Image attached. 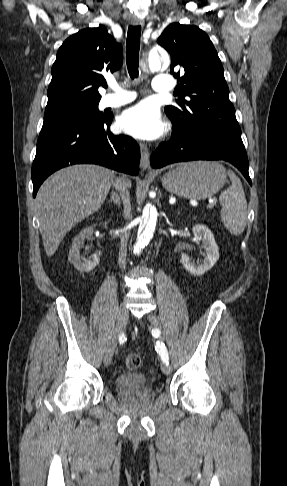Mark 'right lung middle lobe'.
Segmentation results:
<instances>
[{
    "instance_id": "1",
    "label": "right lung middle lobe",
    "mask_w": 287,
    "mask_h": 486,
    "mask_svg": "<svg viewBox=\"0 0 287 486\" xmlns=\"http://www.w3.org/2000/svg\"><path fill=\"white\" fill-rule=\"evenodd\" d=\"M99 100L79 101L62 104L45 109L41 131L65 126L81 125L100 119L103 114L98 111Z\"/></svg>"
}]
</instances>
